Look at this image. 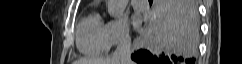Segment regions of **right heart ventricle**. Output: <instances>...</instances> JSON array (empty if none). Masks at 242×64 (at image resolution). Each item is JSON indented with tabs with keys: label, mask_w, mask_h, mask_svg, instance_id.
Instances as JSON below:
<instances>
[{
	"label": "right heart ventricle",
	"mask_w": 242,
	"mask_h": 64,
	"mask_svg": "<svg viewBox=\"0 0 242 64\" xmlns=\"http://www.w3.org/2000/svg\"><path fill=\"white\" fill-rule=\"evenodd\" d=\"M76 45L85 56H99L109 50L106 24L98 12H91L81 20L76 31Z\"/></svg>",
	"instance_id": "right-heart-ventricle-1"
}]
</instances>
